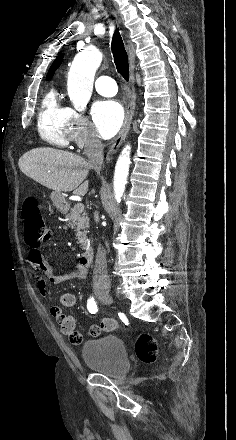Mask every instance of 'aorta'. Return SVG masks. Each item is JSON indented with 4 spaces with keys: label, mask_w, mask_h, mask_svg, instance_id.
Returning <instances> with one entry per match:
<instances>
[{
    "label": "aorta",
    "mask_w": 236,
    "mask_h": 440,
    "mask_svg": "<svg viewBox=\"0 0 236 440\" xmlns=\"http://www.w3.org/2000/svg\"><path fill=\"white\" fill-rule=\"evenodd\" d=\"M102 61V54L95 47L78 53L70 67L67 91L71 102L78 111H83L90 100L96 70ZM131 147L127 145L118 157L114 172V194L117 202L124 194L130 167Z\"/></svg>",
    "instance_id": "1"
}]
</instances>
